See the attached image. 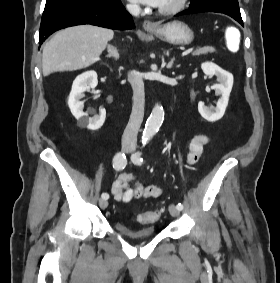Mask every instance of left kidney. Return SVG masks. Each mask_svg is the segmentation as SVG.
I'll return each mask as SVG.
<instances>
[{"label": "left kidney", "instance_id": "5707ae66", "mask_svg": "<svg viewBox=\"0 0 280 283\" xmlns=\"http://www.w3.org/2000/svg\"><path fill=\"white\" fill-rule=\"evenodd\" d=\"M201 68L209 77L217 76V81L219 82L212 86L216 95L220 96L216 107H207L203 102L198 103V111L201 116L209 122H215L223 117L228 106L229 96L233 86V75L212 62L202 63Z\"/></svg>", "mask_w": 280, "mask_h": 283}]
</instances>
